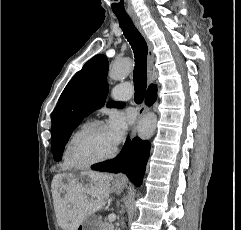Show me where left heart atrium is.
Here are the masks:
<instances>
[{"label":"left heart atrium","mask_w":241,"mask_h":230,"mask_svg":"<svg viewBox=\"0 0 241 230\" xmlns=\"http://www.w3.org/2000/svg\"><path fill=\"white\" fill-rule=\"evenodd\" d=\"M130 120L131 118L128 115L122 112H115L105 125L108 136L115 146L123 141Z\"/></svg>","instance_id":"left-heart-atrium-1"}]
</instances>
